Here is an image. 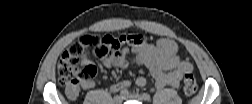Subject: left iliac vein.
<instances>
[{"label": "left iliac vein", "mask_w": 252, "mask_h": 104, "mask_svg": "<svg viewBox=\"0 0 252 104\" xmlns=\"http://www.w3.org/2000/svg\"><path fill=\"white\" fill-rule=\"evenodd\" d=\"M124 99H134L138 101H143V97L138 93L128 94L126 97H124Z\"/></svg>", "instance_id": "left-iliac-vein-1"}]
</instances>
